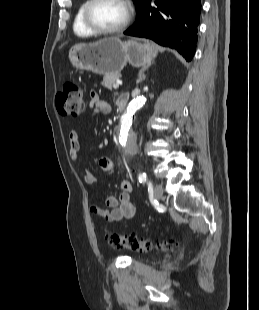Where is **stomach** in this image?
<instances>
[{"label":"stomach","mask_w":259,"mask_h":310,"mask_svg":"<svg viewBox=\"0 0 259 310\" xmlns=\"http://www.w3.org/2000/svg\"><path fill=\"white\" fill-rule=\"evenodd\" d=\"M157 53V48L151 43L122 42L117 37H109L95 43L72 46L69 59L77 69L106 75L119 74L127 63L133 67L148 66Z\"/></svg>","instance_id":"obj_1"}]
</instances>
